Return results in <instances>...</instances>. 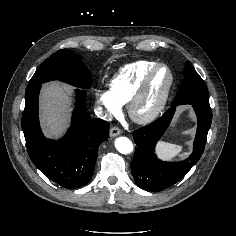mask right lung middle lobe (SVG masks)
<instances>
[{"label":"right lung middle lobe","mask_w":236,"mask_h":236,"mask_svg":"<svg viewBox=\"0 0 236 236\" xmlns=\"http://www.w3.org/2000/svg\"><path fill=\"white\" fill-rule=\"evenodd\" d=\"M50 80H59L83 89L91 86L90 73L81 57L67 49L59 50L49 57L36 70L27 88Z\"/></svg>","instance_id":"obj_1"}]
</instances>
